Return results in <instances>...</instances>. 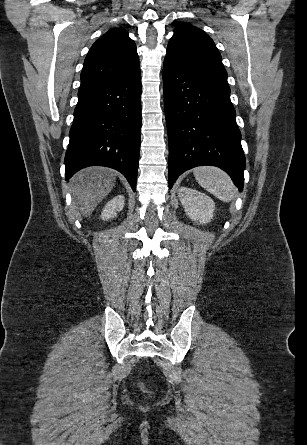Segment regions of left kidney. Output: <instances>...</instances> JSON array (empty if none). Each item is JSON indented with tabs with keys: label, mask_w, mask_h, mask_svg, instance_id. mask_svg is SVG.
Here are the masks:
<instances>
[{
	"label": "left kidney",
	"mask_w": 307,
	"mask_h": 445,
	"mask_svg": "<svg viewBox=\"0 0 307 445\" xmlns=\"http://www.w3.org/2000/svg\"><path fill=\"white\" fill-rule=\"evenodd\" d=\"M177 194L187 216L195 220V223L203 225V223H209V220L213 218L215 204L210 196L195 190V188H187V186H180Z\"/></svg>",
	"instance_id": "left-kidney-1"
}]
</instances>
